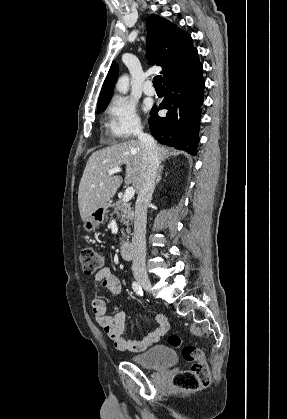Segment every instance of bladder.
Masks as SVG:
<instances>
[{
  "mask_svg": "<svg viewBox=\"0 0 287 419\" xmlns=\"http://www.w3.org/2000/svg\"><path fill=\"white\" fill-rule=\"evenodd\" d=\"M131 361L144 368L165 370L176 363L177 357L171 347L159 345L132 356Z\"/></svg>",
  "mask_w": 287,
  "mask_h": 419,
  "instance_id": "1",
  "label": "bladder"
}]
</instances>
